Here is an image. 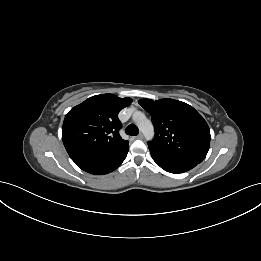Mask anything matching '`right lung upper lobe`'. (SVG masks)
Returning a JSON list of instances; mask_svg holds the SVG:
<instances>
[{
    "mask_svg": "<svg viewBox=\"0 0 261 261\" xmlns=\"http://www.w3.org/2000/svg\"><path fill=\"white\" fill-rule=\"evenodd\" d=\"M131 102L129 97L102 94L73 107L62 127V140L69 156L114 154L129 148L128 141L119 135L121 122L117 115Z\"/></svg>",
    "mask_w": 261,
    "mask_h": 261,
    "instance_id": "cb5924a9",
    "label": "right lung upper lobe"
}]
</instances>
